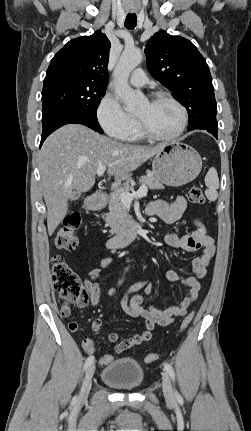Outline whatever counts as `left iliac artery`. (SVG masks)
I'll use <instances>...</instances> for the list:
<instances>
[{
  "label": "left iliac artery",
  "mask_w": 251,
  "mask_h": 431,
  "mask_svg": "<svg viewBox=\"0 0 251 431\" xmlns=\"http://www.w3.org/2000/svg\"><path fill=\"white\" fill-rule=\"evenodd\" d=\"M164 368H165L166 372L169 374L170 378L173 381H175V373H174L173 367L169 363L165 362ZM175 395H176V397H179V393L177 391H175Z\"/></svg>",
  "instance_id": "obj_1"
}]
</instances>
